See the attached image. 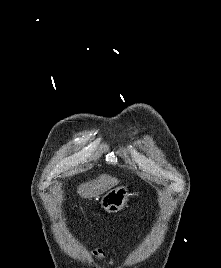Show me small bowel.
<instances>
[{
  "label": "small bowel",
  "instance_id": "obj_1",
  "mask_svg": "<svg viewBox=\"0 0 221 268\" xmlns=\"http://www.w3.org/2000/svg\"><path fill=\"white\" fill-rule=\"evenodd\" d=\"M90 255L95 259H102L106 256V253L101 248H95L90 252ZM114 263V254L113 251L110 253V265H113Z\"/></svg>",
  "mask_w": 221,
  "mask_h": 268
}]
</instances>
